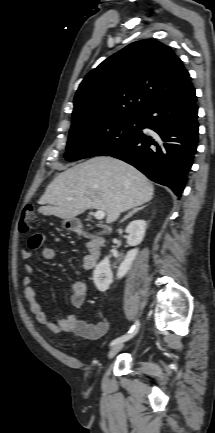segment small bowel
Wrapping results in <instances>:
<instances>
[{"label":"small bowel","mask_w":215,"mask_h":433,"mask_svg":"<svg viewBox=\"0 0 215 433\" xmlns=\"http://www.w3.org/2000/svg\"><path fill=\"white\" fill-rule=\"evenodd\" d=\"M45 241L43 234H35L28 240L27 247L21 250V257L24 260H29L32 256V251L40 248ZM42 257L46 261H53L55 259V252L53 249L44 247L42 248ZM94 261L89 255L83 259V267L91 269L94 266ZM24 272L26 276L22 279L23 295L29 305L31 313L35 316L37 322L54 333H74L86 339H99L108 330V321H100L96 324L85 322L79 314H71L67 317L61 318L57 321H51L47 314L42 309L41 305L36 299V293L32 285L30 274L33 272V267L30 264H25ZM86 284L83 281H75L72 284V290L69 296L70 305L74 308L83 306L86 300Z\"/></svg>","instance_id":"obj_1"}]
</instances>
